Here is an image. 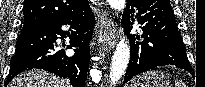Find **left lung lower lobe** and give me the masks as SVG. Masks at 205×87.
Segmentation results:
<instances>
[{
    "label": "left lung lower lobe",
    "mask_w": 205,
    "mask_h": 87,
    "mask_svg": "<svg viewBox=\"0 0 205 87\" xmlns=\"http://www.w3.org/2000/svg\"><path fill=\"white\" fill-rule=\"evenodd\" d=\"M133 22L140 25L144 40L135 43L140 36H129L131 55L123 84L157 66L175 65L191 72L169 0H127L122 19L127 32Z\"/></svg>",
    "instance_id": "obj_1"
}]
</instances>
